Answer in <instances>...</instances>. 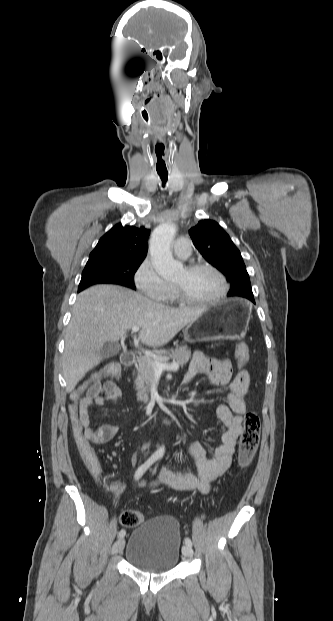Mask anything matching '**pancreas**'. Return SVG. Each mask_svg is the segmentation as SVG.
<instances>
[{
	"label": "pancreas",
	"mask_w": 333,
	"mask_h": 621,
	"mask_svg": "<svg viewBox=\"0 0 333 621\" xmlns=\"http://www.w3.org/2000/svg\"><path fill=\"white\" fill-rule=\"evenodd\" d=\"M169 357L174 363L184 365L191 358V350L186 345L179 346L176 349L165 352H156L155 355L144 356L138 359V376L135 379V387L138 391L137 400L142 402L148 401V392L154 378L153 362L158 361L165 363V358Z\"/></svg>",
	"instance_id": "obj_1"
}]
</instances>
